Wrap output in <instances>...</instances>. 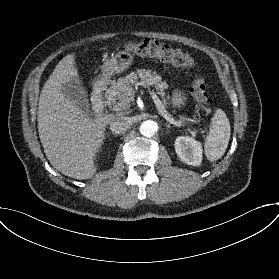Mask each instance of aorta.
I'll list each match as a JSON object with an SVG mask.
<instances>
[{
    "instance_id": "1",
    "label": "aorta",
    "mask_w": 279,
    "mask_h": 279,
    "mask_svg": "<svg viewBox=\"0 0 279 279\" xmlns=\"http://www.w3.org/2000/svg\"><path fill=\"white\" fill-rule=\"evenodd\" d=\"M158 124L155 121L147 120L140 125V133L143 136L150 137L158 131Z\"/></svg>"
}]
</instances>
